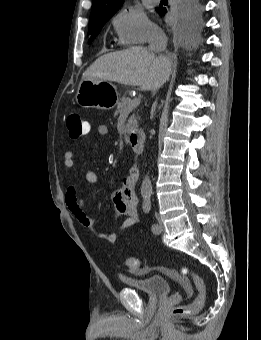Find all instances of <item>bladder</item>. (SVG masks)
<instances>
[{"label":"bladder","instance_id":"1","mask_svg":"<svg viewBox=\"0 0 261 340\" xmlns=\"http://www.w3.org/2000/svg\"><path fill=\"white\" fill-rule=\"evenodd\" d=\"M119 280L127 287L154 298L167 297L171 289L170 281L161 275L142 278L119 276Z\"/></svg>","mask_w":261,"mask_h":340}]
</instances>
